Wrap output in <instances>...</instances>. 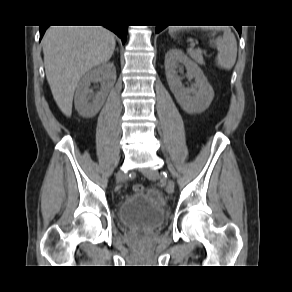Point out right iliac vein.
<instances>
[{
    "mask_svg": "<svg viewBox=\"0 0 292 292\" xmlns=\"http://www.w3.org/2000/svg\"><path fill=\"white\" fill-rule=\"evenodd\" d=\"M116 180L117 182H124L126 180V175L124 174V172L119 171L116 175Z\"/></svg>",
    "mask_w": 292,
    "mask_h": 292,
    "instance_id": "right-iliac-vein-1",
    "label": "right iliac vein"
}]
</instances>
